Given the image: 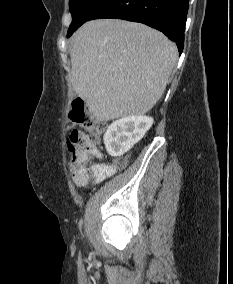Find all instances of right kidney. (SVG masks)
Instances as JSON below:
<instances>
[{"instance_id":"obj_1","label":"right kidney","mask_w":233,"mask_h":284,"mask_svg":"<svg viewBox=\"0 0 233 284\" xmlns=\"http://www.w3.org/2000/svg\"><path fill=\"white\" fill-rule=\"evenodd\" d=\"M153 118L128 116L114 121L104 135V144L109 155L118 157L129 151L151 128Z\"/></svg>"}]
</instances>
